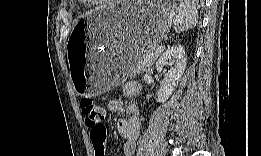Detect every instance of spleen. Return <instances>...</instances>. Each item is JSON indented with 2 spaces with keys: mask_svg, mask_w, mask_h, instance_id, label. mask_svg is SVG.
Returning <instances> with one entry per match:
<instances>
[{
  "mask_svg": "<svg viewBox=\"0 0 261 156\" xmlns=\"http://www.w3.org/2000/svg\"><path fill=\"white\" fill-rule=\"evenodd\" d=\"M177 15L174 27L177 32L193 29L198 22V11L195 4L190 0H180L177 7Z\"/></svg>",
  "mask_w": 261,
  "mask_h": 156,
  "instance_id": "3e777b00",
  "label": "spleen"
}]
</instances>
